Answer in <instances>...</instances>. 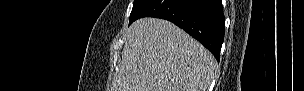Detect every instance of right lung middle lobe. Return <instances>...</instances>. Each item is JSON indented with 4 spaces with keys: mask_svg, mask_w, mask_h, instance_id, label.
Here are the masks:
<instances>
[{
    "mask_svg": "<svg viewBox=\"0 0 304 91\" xmlns=\"http://www.w3.org/2000/svg\"><path fill=\"white\" fill-rule=\"evenodd\" d=\"M150 2V0H134L133 8L130 14V23L136 20L141 10Z\"/></svg>",
    "mask_w": 304,
    "mask_h": 91,
    "instance_id": "dd1d6c3e",
    "label": "right lung middle lobe"
}]
</instances>
